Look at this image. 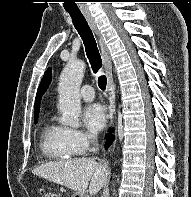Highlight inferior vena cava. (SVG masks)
<instances>
[{"label": "inferior vena cava", "mask_w": 191, "mask_h": 197, "mask_svg": "<svg viewBox=\"0 0 191 197\" xmlns=\"http://www.w3.org/2000/svg\"><path fill=\"white\" fill-rule=\"evenodd\" d=\"M90 138H91V140H92L93 142H96V141H97V139H96L95 136H90ZM97 149H98V148H94L93 151H97Z\"/></svg>", "instance_id": "obj_1"}]
</instances>
